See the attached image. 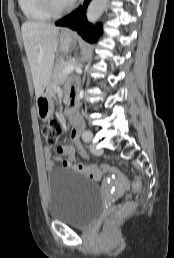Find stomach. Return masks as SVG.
I'll return each mask as SVG.
<instances>
[{
	"label": "stomach",
	"instance_id": "1",
	"mask_svg": "<svg viewBox=\"0 0 174 258\" xmlns=\"http://www.w3.org/2000/svg\"><path fill=\"white\" fill-rule=\"evenodd\" d=\"M74 42L73 34L64 31L59 36L58 49L60 52L66 54L69 52L70 47ZM37 113L40 119L46 121L53 116L54 103L52 100V93L50 86L47 87L45 92L36 99Z\"/></svg>",
	"mask_w": 174,
	"mask_h": 258
}]
</instances>
